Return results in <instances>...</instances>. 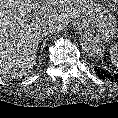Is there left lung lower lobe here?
Returning <instances> with one entry per match:
<instances>
[{"instance_id":"left-lung-lower-lobe-1","label":"left lung lower lobe","mask_w":118,"mask_h":118,"mask_svg":"<svg viewBox=\"0 0 118 118\" xmlns=\"http://www.w3.org/2000/svg\"><path fill=\"white\" fill-rule=\"evenodd\" d=\"M94 70L96 71L97 76H99L101 79L110 80L112 82L118 81V74L108 73L99 67H95Z\"/></svg>"}]
</instances>
